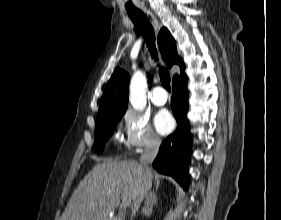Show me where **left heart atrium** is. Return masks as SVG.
<instances>
[{
	"instance_id": "39dd6f15",
	"label": "left heart atrium",
	"mask_w": 281,
	"mask_h": 220,
	"mask_svg": "<svg viewBox=\"0 0 281 220\" xmlns=\"http://www.w3.org/2000/svg\"><path fill=\"white\" fill-rule=\"evenodd\" d=\"M174 119L171 114L163 109L157 112L154 118V125L158 133L166 135L174 128Z\"/></svg>"
}]
</instances>
